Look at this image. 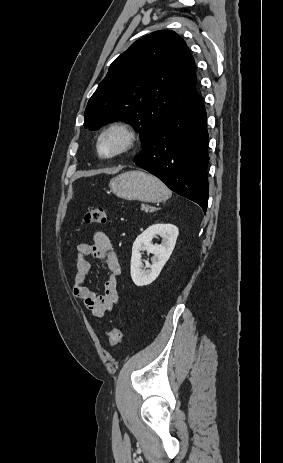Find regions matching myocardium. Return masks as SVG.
<instances>
[{
  "mask_svg": "<svg viewBox=\"0 0 283 463\" xmlns=\"http://www.w3.org/2000/svg\"><path fill=\"white\" fill-rule=\"evenodd\" d=\"M114 133L121 135L122 143L113 152L106 155L102 154L100 152L101 142L106 136ZM137 140L138 133L132 124L123 120L113 121L98 133L95 144L96 152L102 159H113L130 152L136 145Z\"/></svg>",
  "mask_w": 283,
  "mask_h": 463,
  "instance_id": "myocardium-1",
  "label": "myocardium"
}]
</instances>
